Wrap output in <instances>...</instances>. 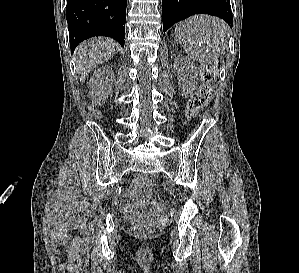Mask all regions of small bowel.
<instances>
[{
	"label": "small bowel",
	"instance_id": "c3829d8e",
	"mask_svg": "<svg viewBox=\"0 0 299 273\" xmlns=\"http://www.w3.org/2000/svg\"><path fill=\"white\" fill-rule=\"evenodd\" d=\"M152 207V210L155 214H160L163 210L162 205L157 201H150L149 203Z\"/></svg>",
	"mask_w": 299,
	"mask_h": 273
}]
</instances>
